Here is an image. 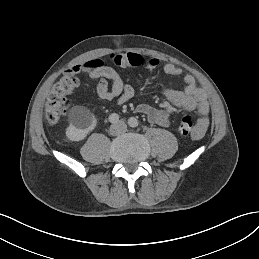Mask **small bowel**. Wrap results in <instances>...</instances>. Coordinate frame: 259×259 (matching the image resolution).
Returning a JSON list of instances; mask_svg holds the SVG:
<instances>
[{
  "label": "small bowel",
  "instance_id": "1",
  "mask_svg": "<svg viewBox=\"0 0 259 259\" xmlns=\"http://www.w3.org/2000/svg\"><path fill=\"white\" fill-rule=\"evenodd\" d=\"M110 61L113 65L121 68L144 66L150 70L158 67L159 61L156 58H147L137 53L113 54ZM164 72L170 76H180L182 69L174 64L167 63L163 67ZM86 74L90 79L96 80V92L101 99L113 100L123 104L134 95L131 85L125 84L119 73L103 60L95 59L82 64L70 67L66 74ZM185 86L182 90L166 89L165 98L174 106L188 112L197 113V121L192 137L202 138L209 126V103L206 93L197 86L192 75H185ZM136 111L145 115L151 123L168 126L169 115L164 109L155 108L147 104L137 106Z\"/></svg>",
  "mask_w": 259,
  "mask_h": 259
}]
</instances>
